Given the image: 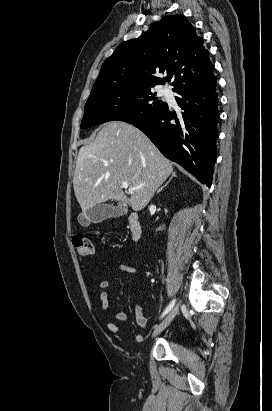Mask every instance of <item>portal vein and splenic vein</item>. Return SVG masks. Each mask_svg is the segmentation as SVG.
Masks as SVG:
<instances>
[{
  "instance_id": "18ae733b",
  "label": "portal vein and splenic vein",
  "mask_w": 272,
  "mask_h": 411,
  "mask_svg": "<svg viewBox=\"0 0 272 411\" xmlns=\"http://www.w3.org/2000/svg\"><path fill=\"white\" fill-rule=\"evenodd\" d=\"M142 186H143V185L136 186V187H129V185H128L126 182H123V183H122V188L128 189L129 191H133V190L139 189V188H141Z\"/></svg>"
}]
</instances>
